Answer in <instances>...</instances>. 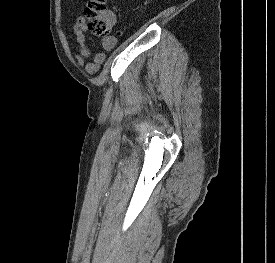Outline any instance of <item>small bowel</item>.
Wrapping results in <instances>:
<instances>
[{
  "instance_id": "small-bowel-1",
  "label": "small bowel",
  "mask_w": 275,
  "mask_h": 263,
  "mask_svg": "<svg viewBox=\"0 0 275 263\" xmlns=\"http://www.w3.org/2000/svg\"><path fill=\"white\" fill-rule=\"evenodd\" d=\"M107 18L111 25L115 23V16L112 13L107 14ZM86 32V20L83 16L78 17L76 23L73 26V33L79 46V53L75 55V59L79 66H85V70L88 74H95L104 63L106 59L105 52L96 53L91 61L85 64V60L90 58L91 52L86 44L85 39ZM117 44V38L110 36L102 41V47L106 51L113 50Z\"/></svg>"
}]
</instances>
